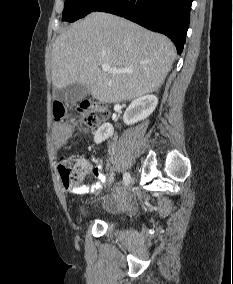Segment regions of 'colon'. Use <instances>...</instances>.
<instances>
[{
    "label": "colon",
    "mask_w": 233,
    "mask_h": 284,
    "mask_svg": "<svg viewBox=\"0 0 233 284\" xmlns=\"http://www.w3.org/2000/svg\"><path fill=\"white\" fill-rule=\"evenodd\" d=\"M78 111L83 116V122L90 128L98 127L109 116L107 105L98 101L84 100L78 104ZM66 109L61 102H55L53 114L56 120L65 116ZM58 170L65 187H74L82 178V173L74 159L63 156L58 165Z\"/></svg>",
    "instance_id": "colon-1"
}]
</instances>
